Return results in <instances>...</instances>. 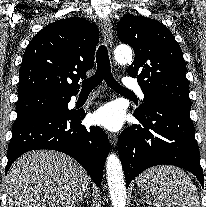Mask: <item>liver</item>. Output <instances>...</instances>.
<instances>
[{"label": "liver", "mask_w": 206, "mask_h": 207, "mask_svg": "<svg viewBox=\"0 0 206 207\" xmlns=\"http://www.w3.org/2000/svg\"><path fill=\"white\" fill-rule=\"evenodd\" d=\"M89 184L88 174L71 157L37 150L12 164L5 188L9 207H75Z\"/></svg>", "instance_id": "liver-1"}]
</instances>
